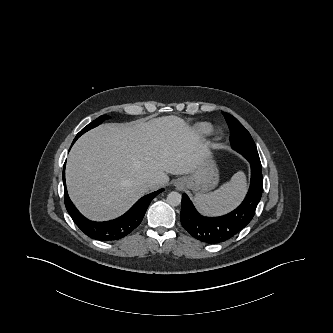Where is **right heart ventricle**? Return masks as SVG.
<instances>
[{
	"label": "right heart ventricle",
	"instance_id": "e07e8e85",
	"mask_svg": "<svg viewBox=\"0 0 333 333\" xmlns=\"http://www.w3.org/2000/svg\"><path fill=\"white\" fill-rule=\"evenodd\" d=\"M196 131L201 135H207L211 132V127L208 123H199L196 125Z\"/></svg>",
	"mask_w": 333,
	"mask_h": 333
}]
</instances>
